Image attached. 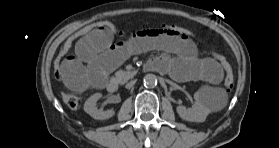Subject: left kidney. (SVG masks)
Returning a JSON list of instances; mask_svg holds the SVG:
<instances>
[{"instance_id":"1","label":"left kidney","mask_w":279,"mask_h":148,"mask_svg":"<svg viewBox=\"0 0 279 148\" xmlns=\"http://www.w3.org/2000/svg\"><path fill=\"white\" fill-rule=\"evenodd\" d=\"M194 99L195 103L192 108H186L179 105L177 106V113L186 121L204 122L208 114L211 112V109L205 102L201 92H195Z\"/></svg>"}]
</instances>
